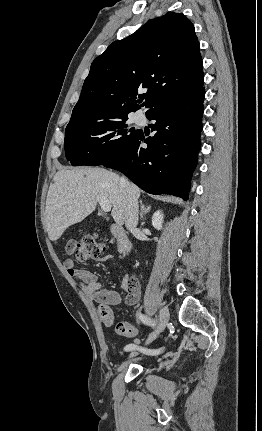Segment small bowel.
Listing matches in <instances>:
<instances>
[{
	"label": "small bowel",
	"mask_w": 262,
	"mask_h": 431,
	"mask_svg": "<svg viewBox=\"0 0 262 431\" xmlns=\"http://www.w3.org/2000/svg\"><path fill=\"white\" fill-rule=\"evenodd\" d=\"M103 261L111 263L114 262L110 256H105ZM64 267L71 277L80 280L85 297L89 301H93L98 304L100 315L110 316L114 320V314L111 308L112 306L118 305L122 302L121 295L116 291L104 289L102 284L98 281V277L95 273L85 268L76 267L74 261L71 259H66L64 261ZM121 287L127 293L126 300L128 303L134 304L140 299L141 288L135 279H132L128 275H124ZM105 323L110 324L107 322ZM127 325L131 326L130 324Z\"/></svg>",
	"instance_id": "small-bowel-1"
}]
</instances>
